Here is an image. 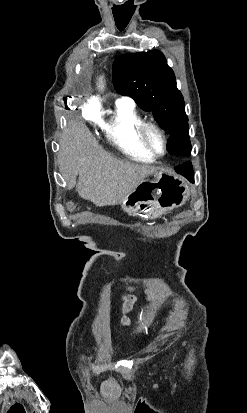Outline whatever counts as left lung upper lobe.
Instances as JSON below:
<instances>
[{"label": "left lung upper lobe", "mask_w": 247, "mask_h": 413, "mask_svg": "<svg viewBox=\"0 0 247 413\" xmlns=\"http://www.w3.org/2000/svg\"><path fill=\"white\" fill-rule=\"evenodd\" d=\"M113 83L119 94L132 97L170 134L168 151L171 154L190 156L189 125L183 96L176 87L173 70L160 51L128 53L116 58Z\"/></svg>", "instance_id": "5c2ea615"}]
</instances>
